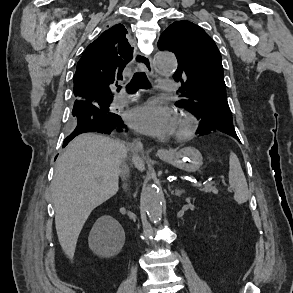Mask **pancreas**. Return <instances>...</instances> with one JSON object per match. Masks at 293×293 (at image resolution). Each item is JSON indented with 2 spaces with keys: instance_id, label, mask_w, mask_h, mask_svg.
<instances>
[{
  "instance_id": "cf45deb5",
  "label": "pancreas",
  "mask_w": 293,
  "mask_h": 293,
  "mask_svg": "<svg viewBox=\"0 0 293 293\" xmlns=\"http://www.w3.org/2000/svg\"><path fill=\"white\" fill-rule=\"evenodd\" d=\"M200 191L205 193L218 194L219 190L216 188L213 182H209L200 188Z\"/></svg>"
}]
</instances>
